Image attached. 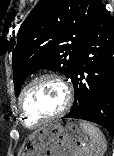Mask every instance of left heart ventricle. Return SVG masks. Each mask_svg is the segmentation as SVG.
Here are the masks:
<instances>
[{"mask_svg": "<svg viewBox=\"0 0 114 156\" xmlns=\"http://www.w3.org/2000/svg\"><path fill=\"white\" fill-rule=\"evenodd\" d=\"M63 90L58 83L45 79L35 83L22 100L24 119L32 126L56 113L63 105Z\"/></svg>", "mask_w": 114, "mask_h": 156, "instance_id": "1", "label": "left heart ventricle"}]
</instances>
